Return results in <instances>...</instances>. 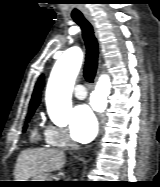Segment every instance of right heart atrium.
Listing matches in <instances>:
<instances>
[{
    "instance_id": "d8ad5b80",
    "label": "right heart atrium",
    "mask_w": 160,
    "mask_h": 187,
    "mask_svg": "<svg viewBox=\"0 0 160 187\" xmlns=\"http://www.w3.org/2000/svg\"><path fill=\"white\" fill-rule=\"evenodd\" d=\"M44 139L48 145L53 147H68L73 145L67 131L52 124L46 126Z\"/></svg>"
}]
</instances>
